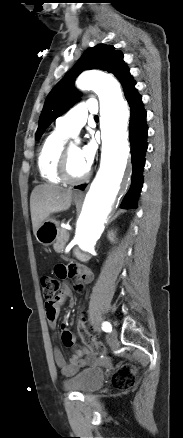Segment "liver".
I'll list each match as a JSON object with an SVG mask.
<instances>
[{
  "label": "liver",
  "instance_id": "obj_1",
  "mask_svg": "<svg viewBox=\"0 0 183 438\" xmlns=\"http://www.w3.org/2000/svg\"><path fill=\"white\" fill-rule=\"evenodd\" d=\"M72 193L71 189L55 185H39L33 189L30 197V210L34 234L50 214L63 212L70 208Z\"/></svg>",
  "mask_w": 183,
  "mask_h": 438
}]
</instances>
